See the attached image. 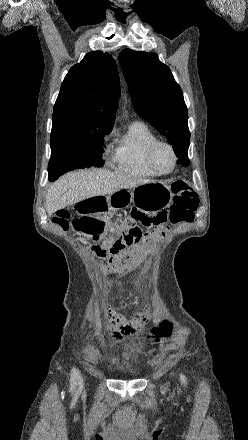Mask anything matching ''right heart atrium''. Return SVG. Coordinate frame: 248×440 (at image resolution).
Wrapping results in <instances>:
<instances>
[{
  "label": "right heart atrium",
  "mask_w": 248,
  "mask_h": 440,
  "mask_svg": "<svg viewBox=\"0 0 248 440\" xmlns=\"http://www.w3.org/2000/svg\"><path fill=\"white\" fill-rule=\"evenodd\" d=\"M107 152H108V150H105V152H104V153H105V154H107Z\"/></svg>",
  "instance_id": "1"
}]
</instances>
